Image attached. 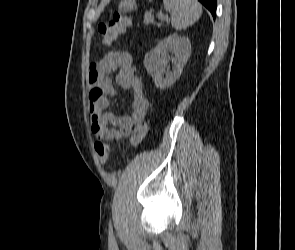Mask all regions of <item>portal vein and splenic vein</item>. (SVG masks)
<instances>
[{
    "label": "portal vein and splenic vein",
    "instance_id": "obj_1",
    "mask_svg": "<svg viewBox=\"0 0 295 250\" xmlns=\"http://www.w3.org/2000/svg\"><path fill=\"white\" fill-rule=\"evenodd\" d=\"M158 19L161 20V21H165V20H168V17L164 16L162 14H158Z\"/></svg>",
    "mask_w": 295,
    "mask_h": 250
}]
</instances>
